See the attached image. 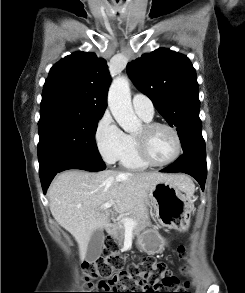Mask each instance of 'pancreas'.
Wrapping results in <instances>:
<instances>
[{"label":"pancreas","mask_w":245,"mask_h":293,"mask_svg":"<svg viewBox=\"0 0 245 293\" xmlns=\"http://www.w3.org/2000/svg\"><path fill=\"white\" fill-rule=\"evenodd\" d=\"M128 218L135 220L137 225L133 228L134 234H139L145 228L151 225L149 216L146 212L131 213ZM125 227L122 221L117 222L114 226L113 238L121 245L124 241Z\"/></svg>","instance_id":"cf45deb5"}]
</instances>
